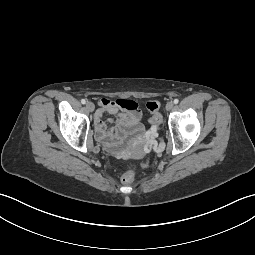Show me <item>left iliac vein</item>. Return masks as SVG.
Here are the masks:
<instances>
[{
    "label": "left iliac vein",
    "instance_id": "obj_1",
    "mask_svg": "<svg viewBox=\"0 0 255 255\" xmlns=\"http://www.w3.org/2000/svg\"><path fill=\"white\" fill-rule=\"evenodd\" d=\"M173 107H174V103L172 102V101H170V102H168L167 104H166V110L167 111H170V110H172L173 109Z\"/></svg>",
    "mask_w": 255,
    "mask_h": 255
}]
</instances>
